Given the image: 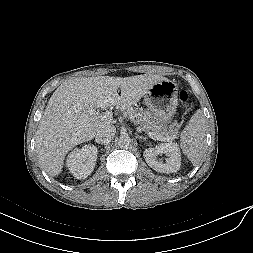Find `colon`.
<instances>
[{"mask_svg":"<svg viewBox=\"0 0 253 253\" xmlns=\"http://www.w3.org/2000/svg\"><path fill=\"white\" fill-rule=\"evenodd\" d=\"M179 100L183 106H188V93L184 90L180 91Z\"/></svg>","mask_w":253,"mask_h":253,"instance_id":"colon-1","label":"colon"}]
</instances>
